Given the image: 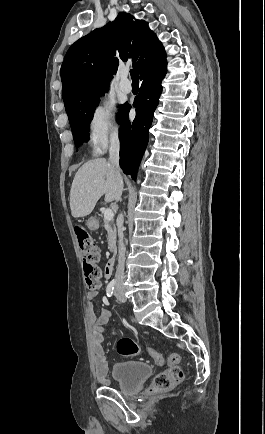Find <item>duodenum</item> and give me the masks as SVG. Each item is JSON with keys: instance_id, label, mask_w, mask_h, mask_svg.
Returning a JSON list of instances; mask_svg holds the SVG:
<instances>
[{"instance_id": "obj_1", "label": "duodenum", "mask_w": 265, "mask_h": 434, "mask_svg": "<svg viewBox=\"0 0 265 434\" xmlns=\"http://www.w3.org/2000/svg\"><path fill=\"white\" fill-rule=\"evenodd\" d=\"M114 266H115L114 259H110L109 261H107L104 269V273L107 278H110L113 275Z\"/></svg>"}]
</instances>
